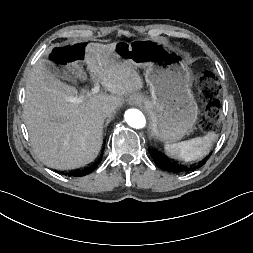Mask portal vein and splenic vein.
I'll return each mask as SVG.
<instances>
[{
  "instance_id": "obj_1",
  "label": "portal vein and splenic vein",
  "mask_w": 253,
  "mask_h": 253,
  "mask_svg": "<svg viewBox=\"0 0 253 253\" xmlns=\"http://www.w3.org/2000/svg\"><path fill=\"white\" fill-rule=\"evenodd\" d=\"M99 90H100V84H99V82H97L96 85H95V87L92 88L91 94H96V93L99 92ZM83 100H84V95H82L80 97H75L73 99L74 102H82Z\"/></svg>"
}]
</instances>
